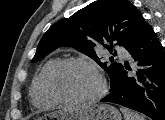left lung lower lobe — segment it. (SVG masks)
<instances>
[{
  "label": "left lung lower lobe",
  "instance_id": "1",
  "mask_svg": "<svg viewBox=\"0 0 165 120\" xmlns=\"http://www.w3.org/2000/svg\"><path fill=\"white\" fill-rule=\"evenodd\" d=\"M125 49L137 68L131 69L125 62L117 87L101 101L128 107L153 120H165V52L145 20Z\"/></svg>",
  "mask_w": 165,
  "mask_h": 120
}]
</instances>
